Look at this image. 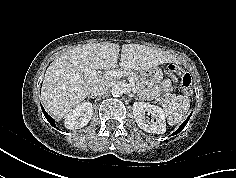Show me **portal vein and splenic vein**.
Instances as JSON below:
<instances>
[{
  "label": "portal vein and splenic vein",
  "mask_w": 236,
  "mask_h": 178,
  "mask_svg": "<svg viewBox=\"0 0 236 178\" xmlns=\"http://www.w3.org/2000/svg\"><path fill=\"white\" fill-rule=\"evenodd\" d=\"M92 75L95 76L97 74L100 73V71H91ZM104 75L106 76H111V77H114V78H121L123 76V73L121 71H118V70H107L104 72ZM130 84L132 86H134V83H133V79L131 77L128 78Z\"/></svg>",
  "instance_id": "1"
}]
</instances>
